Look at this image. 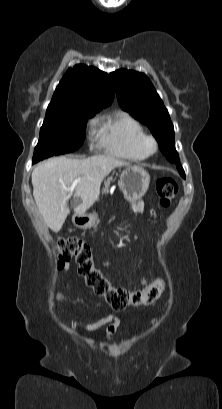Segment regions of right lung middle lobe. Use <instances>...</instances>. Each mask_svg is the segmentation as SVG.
I'll use <instances>...</instances> for the list:
<instances>
[{
  "label": "right lung middle lobe",
  "mask_w": 222,
  "mask_h": 409,
  "mask_svg": "<svg viewBox=\"0 0 222 409\" xmlns=\"http://www.w3.org/2000/svg\"><path fill=\"white\" fill-rule=\"evenodd\" d=\"M99 110L91 107L47 110L32 163L78 149L85 138L87 119Z\"/></svg>",
  "instance_id": "dd1d6c3e"
}]
</instances>
